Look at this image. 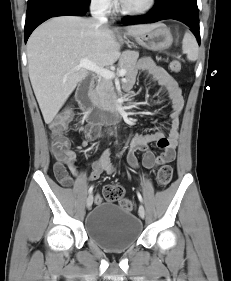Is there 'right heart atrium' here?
<instances>
[{
  "label": "right heart atrium",
  "instance_id": "d8ad5b80",
  "mask_svg": "<svg viewBox=\"0 0 231 281\" xmlns=\"http://www.w3.org/2000/svg\"><path fill=\"white\" fill-rule=\"evenodd\" d=\"M91 1L96 7L105 11L111 9L113 5V0H91Z\"/></svg>",
  "mask_w": 231,
  "mask_h": 281
}]
</instances>
